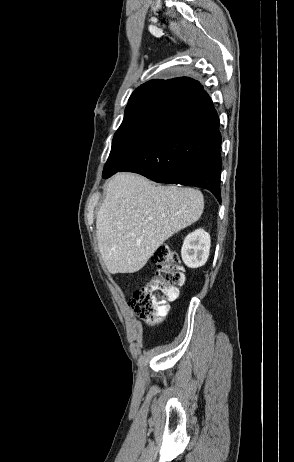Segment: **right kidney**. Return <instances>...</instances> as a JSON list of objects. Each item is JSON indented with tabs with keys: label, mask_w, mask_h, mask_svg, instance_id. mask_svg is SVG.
<instances>
[{
	"label": "right kidney",
	"mask_w": 294,
	"mask_h": 462,
	"mask_svg": "<svg viewBox=\"0 0 294 462\" xmlns=\"http://www.w3.org/2000/svg\"><path fill=\"white\" fill-rule=\"evenodd\" d=\"M210 246V235L205 230L197 229L189 233L181 248V256L185 265L189 268L203 266L208 259Z\"/></svg>",
	"instance_id": "obj_1"
}]
</instances>
